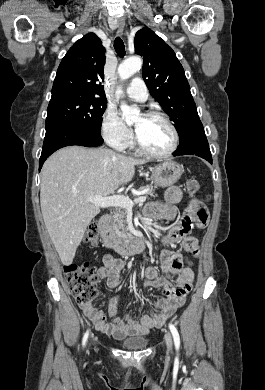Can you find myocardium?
<instances>
[{
    "label": "myocardium",
    "instance_id": "obj_1",
    "mask_svg": "<svg viewBox=\"0 0 265 390\" xmlns=\"http://www.w3.org/2000/svg\"><path fill=\"white\" fill-rule=\"evenodd\" d=\"M144 115L148 116V117L158 118V119L162 120L168 126V128L170 129L171 134H172V144L169 147V149H167L164 152H161V153L153 152V151L149 150L142 143L141 139L139 138L138 134L135 131L134 132V139H135V144H136L138 150L141 153H143L144 155L149 156L151 158L165 159V158L170 157L177 150L178 145H179V133H178L177 128L175 127L173 122L164 113H162L160 111L150 110V111H147Z\"/></svg>",
    "mask_w": 265,
    "mask_h": 390
}]
</instances>
